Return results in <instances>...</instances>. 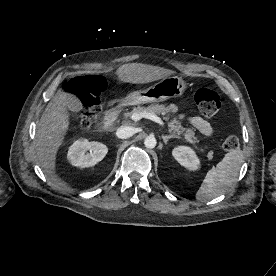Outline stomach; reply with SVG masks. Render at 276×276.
<instances>
[{
    "mask_svg": "<svg viewBox=\"0 0 276 276\" xmlns=\"http://www.w3.org/2000/svg\"><path fill=\"white\" fill-rule=\"evenodd\" d=\"M186 88V83L181 77H165L145 90L129 93L123 102L127 105L162 102L182 96Z\"/></svg>",
    "mask_w": 276,
    "mask_h": 276,
    "instance_id": "0dacf381",
    "label": "stomach"
}]
</instances>
